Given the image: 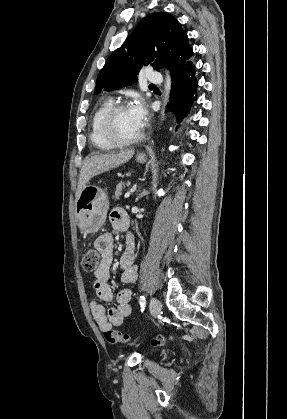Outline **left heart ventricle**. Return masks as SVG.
Segmentation results:
<instances>
[{
  "label": "left heart ventricle",
  "instance_id": "1",
  "mask_svg": "<svg viewBox=\"0 0 287 419\" xmlns=\"http://www.w3.org/2000/svg\"><path fill=\"white\" fill-rule=\"evenodd\" d=\"M117 133L124 138H131L142 131V127L137 123L129 108L121 110L115 119Z\"/></svg>",
  "mask_w": 287,
  "mask_h": 419
}]
</instances>
